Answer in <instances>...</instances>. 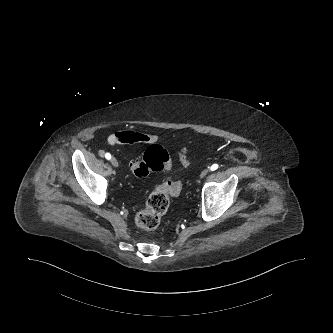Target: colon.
<instances>
[{
	"label": "colon",
	"mask_w": 333,
	"mask_h": 333,
	"mask_svg": "<svg viewBox=\"0 0 333 333\" xmlns=\"http://www.w3.org/2000/svg\"><path fill=\"white\" fill-rule=\"evenodd\" d=\"M180 160L184 168L189 167L190 162L184 151L180 153ZM129 167L137 177H145L152 171L169 172L172 166L167 151L158 144H152L141 158L132 159ZM181 190V183L175 179H169L158 186L149 195L145 206L137 212V226L145 230L155 229L169 208L170 197L178 196Z\"/></svg>",
	"instance_id": "5ec220e1"
}]
</instances>
